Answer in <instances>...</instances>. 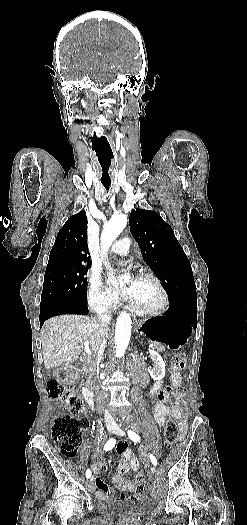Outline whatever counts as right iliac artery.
Returning a JSON list of instances; mask_svg holds the SVG:
<instances>
[{"label": "right iliac artery", "instance_id": "82829eb1", "mask_svg": "<svg viewBox=\"0 0 247 525\" xmlns=\"http://www.w3.org/2000/svg\"><path fill=\"white\" fill-rule=\"evenodd\" d=\"M115 443H116V440L114 438H111L107 441V443L104 445V450L105 451H109L111 450L114 446H115ZM86 477L87 478H90L91 477V471L90 469H87L86 471Z\"/></svg>", "mask_w": 247, "mask_h": 525}]
</instances>
